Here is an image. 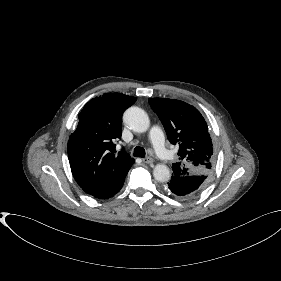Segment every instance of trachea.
<instances>
[{"mask_svg": "<svg viewBox=\"0 0 281 281\" xmlns=\"http://www.w3.org/2000/svg\"><path fill=\"white\" fill-rule=\"evenodd\" d=\"M133 155L135 157L144 158L146 153H145V150H144L143 147L137 146V147L134 148Z\"/></svg>", "mask_w": 281, "mask_h": 281, "instance_id": "obj_1", "label": "trachea"}]
</instances>
